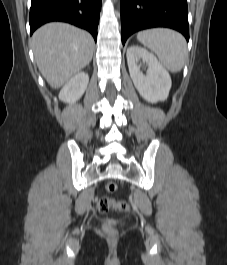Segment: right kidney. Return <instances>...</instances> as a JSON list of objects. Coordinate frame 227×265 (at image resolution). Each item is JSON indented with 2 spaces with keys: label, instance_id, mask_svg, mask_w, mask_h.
<instances>
[{
  "label": "right kidney",
  "instance_id": "right-kidney-1",
  "mask_svg": "<svg viewBox=\"0 0 227 265\" xmlns=\"http://www.w3.org/2000/svg\"><path fill=\"white\" fill-rule=\"evenodd\" d=\"M89 83V76L85 72H79L67 82L59 93V99L66 103L79 100L84 94Z\"/></svg>",
  "mask_w": 227,
  "mask_h": 265
}]
</instances>
